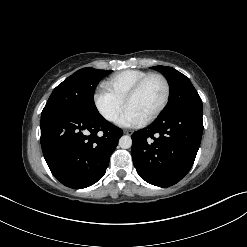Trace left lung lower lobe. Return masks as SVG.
I'll use <instances>...</instances> for the list:
<instances>
[{"label": "left lung lower lobe", "instance_id": "0a47b994", "mask_svg": "<svg viewBox=\"0 0 247 247\" xmlns=\"http://www.w3.org/2000/svg\"><path fill=\"white\" fill-rule=\"evenodd\" d=\"M202 132V107L174 110L134 132L132 157L137 173L155 186L176 184L191 169Z\"/></svg>", "mask_w": 247, "mask_h": 247}]
</instances>
